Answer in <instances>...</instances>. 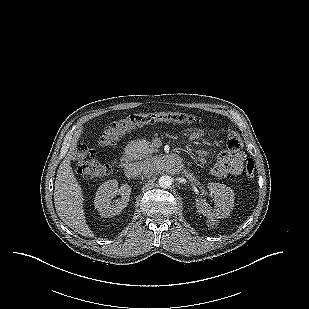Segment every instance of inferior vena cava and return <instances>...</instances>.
<instances>
[{
  "label": "inferior vena cava",
  "instance_id": "obj_1",
  "mask_svg": "<svg viewBox=\"0 0 309 309\" xmlns=\"http://www.w3.org/2000/svg\"><path fill=\"white\" fill-rule=\"evenodd\" d=\"M147 172H149L147 166H145V164L142 163H134L128 166V168L125 170L126 176L131 178Z\"/></svg>",
  "mask_w": 309,
  "mask_h": 309
}]
</instances>
